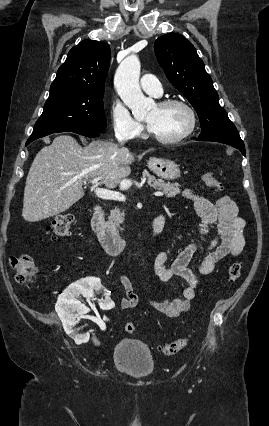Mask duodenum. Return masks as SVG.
<instances>
[{"instance_id":"1","label":"duodenum","mask_w":269,"mask_h":426,"mask_svg":"<svg viewBox=\"0 0 269 426\" xmlns=\"http://www.w3.org/2000/svg\"><path fill=\"white\" fill-rule=\"evenodd\" d=\"M91 226L109 255H119L127 250L129 242L106 225L103 209L99 205L93 209ZM164 226L165 216L163 213H159L152 221L147 238L152 240L160 236Z\"/></svg>"}]
</instances>
